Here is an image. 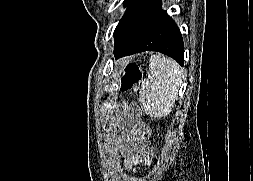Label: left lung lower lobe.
I'll list each match as a JSON object with an SVG mask.
<instances>
[{"mask_svg":"<svg viewBox=\"0 0 253 181\" xmlns=\"http://www.w3.org/2000/svg\"><path fill=\"white\" fill-rule=\"evenodd\" d=\"M114 56L158 51L184 62L183 39L175 22L161 9V0H133L114 31Z\"/></svg>","mask_w":253,"mask_h":181,"instance_id":"obj_1","label":"left lung lower lobe"}]
</instances>
